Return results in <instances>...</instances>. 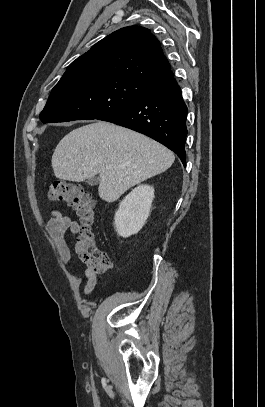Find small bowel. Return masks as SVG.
Returning <instances> with one entry per match:
<instances>
[{
    "label": "small bowel",
    "mask_w": 265,
    "mask_h": 407,
    "mask_svg": "<svg viewBox=\"0 0 265 407\" xmlns=\"http://www.w3.org/2000/svg\"><path fill=\"white\" fill-rule=\"evenodd\" d=\"M49 215L50 218L46 224V231L56 245L60 261L65 266H68L72 253L66 241V234H78L81 229L80 224L69 216L62 215L57 210H51ZM84 275L85 280L82 291L84 295H89L97 284V276L89 269L85 270Z\"/></svg>",
    "instance_id": "obj_1"
}]
</instances>
